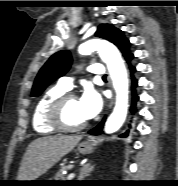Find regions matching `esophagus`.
Wrapping results in <instances>:
<instances>
[{
  "mask_svg": "<svg viewBox=\"0 0 178 186\" xmlns=\"http://www.w3.org/2000/svg\"><path fill=\"white\" fill-rule=\"evenodd\" d=\"M113 104H114V97H112V99L110 100V102L108 104V109H111Z\"/></svg>",
  "mask_w": 178,
  "mask_h": 186,
  "instance_id": "esophagus-1",
  "label": "esophagus"
}]
</instances>
